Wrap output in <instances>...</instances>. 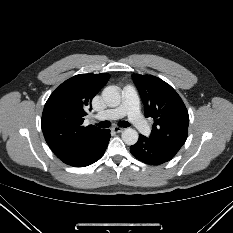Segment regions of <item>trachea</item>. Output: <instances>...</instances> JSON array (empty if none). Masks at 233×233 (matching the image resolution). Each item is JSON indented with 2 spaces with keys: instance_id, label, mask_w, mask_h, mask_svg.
<instances>
[{
  "instance_id": "obj_1",
  "label": "trachea",
  "mask_w": 233,
  "mask_h": 233,
  "mask_svg": "<svg viewBox=\"0 0 233 233\" xmlns=\"http://www.w3.org/2000/svg\"><path fill=\"white\" fill-rule=\"evenodd\" d=\"M119 126L121 127H129L130 124L127 121H121L118 123ZM97 126L101 127V128H108L110 126V122L109 121H102L99 124H97Z\"/></svg>"
}]
</instances>
